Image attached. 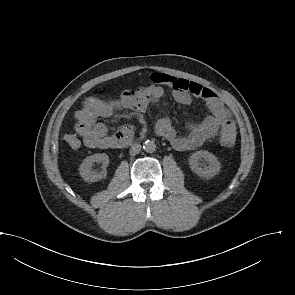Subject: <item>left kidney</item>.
I'll return each instance as SVG.
<instances>
[{
    "label": "left kidney",
    "instance_id": "left-kidney-1",
    "mask_svg": "<svg viewBox=\"0 0 295 295\" xmlns=\"http://www.w3.org/2000/svg\"><path fill=\"white\" fill-rule=\"evenodd\" d=\"M191 170L200 177L212 178L219 173L221 165L218 159L208 151H197L193 153L189 159ZM200 161H205L208 166L203 165Z\"/></svg>",
    "mask_w": 295,
    "mask_h": 295
}]
</instances>
